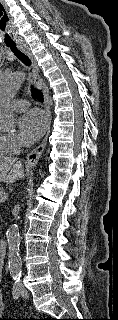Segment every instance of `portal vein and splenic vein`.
I'll return each mask as SVG.
<instances>
[{
	"label": "portal vein and splenic vein",
	"instance_id": "portal-vein-and-splenic-vein-1",
	"mask_svg": "<svg viewBox=\"0 0 118 320\" xmlns=\"http://www.w3.org/2000/svg\"><path fill=\"white\" fill-rule=\"evenodd\" d=\"M8 198V193L6 192H0V202L5 201Z\"/></svg>",
	"mask_w": 118,
	"mask_h": 320
}]
</instances>
